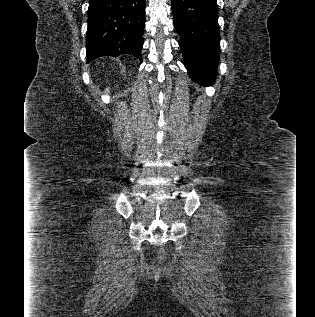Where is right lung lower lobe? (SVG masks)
<instances>
[{
  "mask_svg": "<svg viewBox=\"0 0 315 317\" xmlns=\"http://www.w3.org/2000/svg\"><path fill=\"white\" fill-rule=\"evenodd\" d=\"M145 4V0H90L87 62L124 53L142 59Z\"/></svg>",
  "mask_w": 315,
  "mask_h": 317,
  "instance_id": "98d812e1",
  "label": "right lung lower lobe"
}]
</instances>
